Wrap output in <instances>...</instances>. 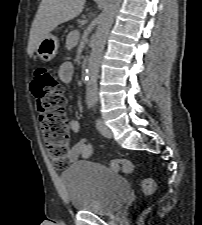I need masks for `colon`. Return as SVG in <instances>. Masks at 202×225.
<instances>
[{
	"label": "colon",
	"mask_w": 202,
	"mask_h": 225,
	"mask_svg": "<svg viewBox=\"0 0 202 225\" xmlns=\"http://www.w3.org/2000/svg\"><path fill=\"white\" fill-rule=\"evenodd\" d=\"M32 91L36 97L38 127L45 145L58 166L66 164L70 143L69 127L65 114L64 85L43 65L35 68ZM131 160H112L110 168L117 173H131L134 170ZM146 196L156 193V183L151 178L141 182Z\"/></svg>",
	"instance_id": "1"
}]
</instances>
